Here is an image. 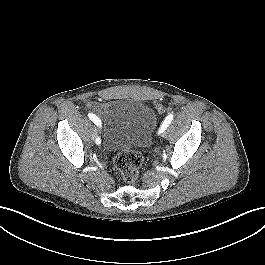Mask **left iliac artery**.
Instances as JSON below:
<instances>
[{
  "instance_id": "44dca946",
  "label": "left iliac artery",
  "mask_w": 265,
  "mask_h": 265,
  "mask_svg": "<svg viewBox=\"0 0 265 265\" xmlns=\"http://www.w3.org/2000/svg\"><path fill=\"white\" fill-rule=\"evenodd\" d=\"M172 120H173V114L170 113V114L165 118V120L163 121V123H162V125H161V127H160V129H159V131H158V134L163 133V132L166 130V128L169 126V124L171 123Z\"/></svg>"
}]
</instances>
